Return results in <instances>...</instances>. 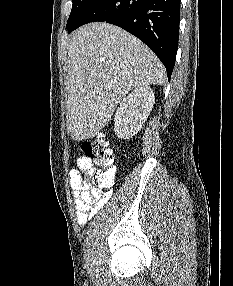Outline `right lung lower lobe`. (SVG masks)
I'll return each mask as SVG.
<instances>
[{
	"instance_id": "obj_1",
	"label": "right lung lower lobe",
	"mask_w": 233,
	"mask_h": 286,
	"mask_svg": "<svg viewBox=\"0 0 233 286\" xmlns=\"http://www.w3.org/2000/svg\"><path fill=\"white\" fill-rule=\"evenodd\" d=\"M180 0H90L68 32L89 22L117 25L142 40L170 79L178 48Z\"/></svg>"
}]
</instances>
